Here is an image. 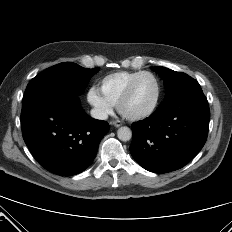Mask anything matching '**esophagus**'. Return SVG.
<instances>
[{
	"label": "esophagus",
	"instance_id": "34e87169",
	"mask_svg": "<svg viewBox=\"0 0 232 232\" xmlns=\"http://www.w3.org/2000/svg\"><path fill=\"white\" fill-rule=\"evenodd\" d=\"M112 125H114L115 127H120L122 125V123L120 121L116 120V121L112 122Z\"/></svg>",
	"mask_w": 232,
	"mask_h": 232
}]
</instances>
